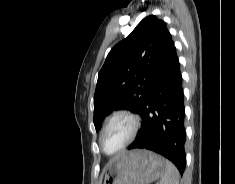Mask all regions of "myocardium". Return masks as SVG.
<instances>
[{"instance_id": "1", "label": "myocardium", "mask_w": 235, "mask_h": 184, "mask_svg": "<svg viewBox=\"0 0 235 184\" xmlns=\"http://www.w3.org/2000/svg\"><path fill=\"white\" fill-rule=\"evenodd\" d=\"M118 117H126L130 120L131 125H132L131 132L128 138L126 139V141L123 143V145L117 152H115L114 154H108L103 150L102 145H101L102 135L106 131V129L113 123V121ZM140 128H141V119L139 115L135 113L133 110L129 108H125V107H121V108H117L113 110L107 116L98 136V144H99V148L101 152L105 154L106 156H110V157L120 155L136 139V137L139 134Z\"/></svg>"}]
</instances>
